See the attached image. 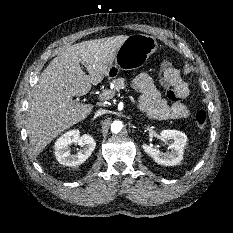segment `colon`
Masks as SVG:
<instances>
[{"instance_id": "5ec220e1", "label": "colon", "mask_w": 233, "mask_h": 233, "mask_svg": "<svg viewBox=\"0 0 233 233\" xmlns=\"http://www.w3.org/2000/svg\"><path fill=\"white\" fill-rule=\"evenodd\" d=\"M160 77L161 82L167 89V97L178 102L183 99L182 93L176 87L181 79L179 71L173 66L168 57L163 56L160 59ZM195 124L199 130H205L208 125V116L205 111H198L195 115Z\"/></svg>"}]
</instances>
